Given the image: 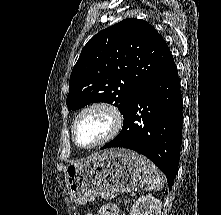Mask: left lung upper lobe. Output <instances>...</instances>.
<instances>
[{
    "instance_id": "5c2ea615",
    "label": "left lung upper lobe",
    "mask_w": 221,
    "mask_h": 215,
    "mask_svg": "<svg viewBox=\"0 0 221 215\" xmlns=\"http://www.w3.org/2000/svg\"><path fill=\"white\" fill-rule=\"evenodd\" d=\"M170 50L148 22L125 19L93 36L69 81L67 107L105 102L126 113L138 91L163 67Z\"/></svg>"
}]
</instances>
